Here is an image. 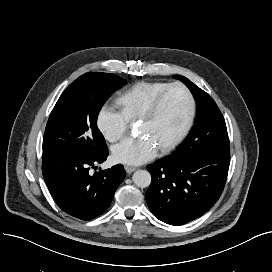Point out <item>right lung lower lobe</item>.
Wrapping results in <instances>:
<instances>
[{
  "label": "right lung lower lobe",
  "instance_id": "right-lung-lower-lobe-1",
  "mask_svg": "<svg viewBox=\"0 0 272 272\" xmlns=\"http://www.w3.org/2000/svg\"><path fill=\"white\" fill-rule=\"evenodd\" d=\"M105 148L92 154L68 151L43 153L42 172L50 193L67 214L90 220L110 205L114 193L125 177L121 164L91 174L90 169L108 156Z\"/></svg>",
  "mask_w": 272,
  "mask_h": 272
}]
</instances>
